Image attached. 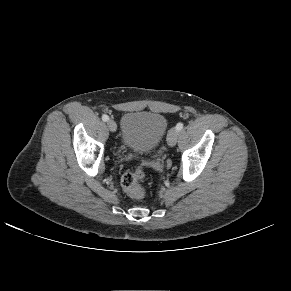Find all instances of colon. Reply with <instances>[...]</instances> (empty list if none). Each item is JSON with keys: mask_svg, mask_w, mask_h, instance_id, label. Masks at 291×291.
<instances>
[{"mask_svg": "<svg viewBox=\"0 0 291 291\" xmlns=\"http://www.w3.org/2000/svg\"><path fill=\"white\" fill-rule=\"evenodd\" d=\"M143 179L144 170L142 167H137L122 176L121 186L129 197L140 200L145 196V189L142 186Z\"/></svg>", "mask_w": 291, "mask_h": 291, "instance_id": "colon-1", "label": "colon"}]
</instances>
